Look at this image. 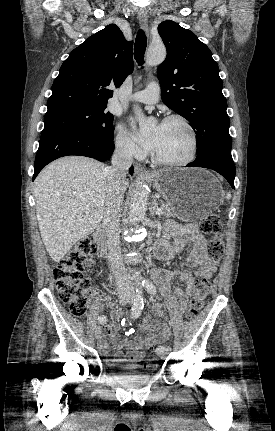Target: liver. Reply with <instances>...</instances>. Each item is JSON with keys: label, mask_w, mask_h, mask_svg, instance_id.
Wrapping results in <instances>:
<instances>
[{"label": "liver", "mask_w": 275, "mask_h": 431, "mask_svg": "<svg viewBox=\"0 0 275 431\" xmlns=\"http://www.w3.org/2000/svg\"><path fill=\"white\" fill-rule=\"evenodd\" d=\"M106 168L88 157L67 156L49 164L36 178L39 230L55 262L100 225L107 195ZM128 186L125 180L124 190Z\"/></svg>", "instance_id": "6515ba94"}]
</instances>
